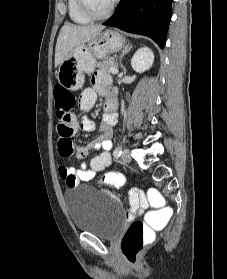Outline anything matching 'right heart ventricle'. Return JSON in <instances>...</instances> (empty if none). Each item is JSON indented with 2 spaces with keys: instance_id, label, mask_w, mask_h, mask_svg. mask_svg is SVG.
I'll list each match as a JSON object with an SVG mask.
<instances>
[{
  "instance_id": "obj_1",
  "label": "right heart ventricle",
  "mask_w": 227,
  "mask_h": 279,
  "mask_svg": "<svg viewBox=\"0 0 227 279\" xmlns=\"http://www.w3.org/2000/svg\"><path fill=\"white\" fill-rule=\"evenodd\" d=\"M68 15L76 24H88L90 19L86 17L78 6L77 0H67Z\"/></svg>"
}]
</instances>
